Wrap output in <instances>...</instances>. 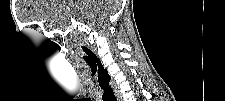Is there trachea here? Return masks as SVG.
I'll return each instance as SVG.
<instances>
[{"label": "trachea", "instance_id": "obj_1", "mask_svg": "<svg viewBox=\"0 0 225 101\" xmlns=\"http://www.w3.org/2000/svg\"><path fill=\"white\" fill-rule=\"evenodd\" d=\"M104 93L102 96L103 101H117L116 97L114 96L112 88L108 86H104Z\"/></svg>", "mask_w": 225, "mask_h": 101}]
</instances>
